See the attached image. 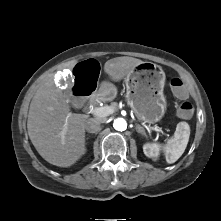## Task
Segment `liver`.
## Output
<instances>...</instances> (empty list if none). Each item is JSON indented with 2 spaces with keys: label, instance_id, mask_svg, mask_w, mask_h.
Listing matches in <instances>:
<instances>
[{
  "label": "liver",
  "instance_id": "1",
  "mask_svg": "<svg viewBox=\"0 0 221 221\" xmlns=\"http://www.w3.org/2000/svg\"><path fill=\"white\" fill-rule=\"evenodd\" d=\"M76 61L68 63L73 69ZM143 63L133 57L108 60L104 71L112 81H120L132 69ZM72 92L55 86L53 77L47 78L36 91L29 108L27 129L29 138L40 156L58 167H70L86 152L85 123L88 115L70 112ZM67 122V130L63 131Z\"/></svg>",
  "mask_w": 221,
  "mask_h": 221
}]
</instances>
